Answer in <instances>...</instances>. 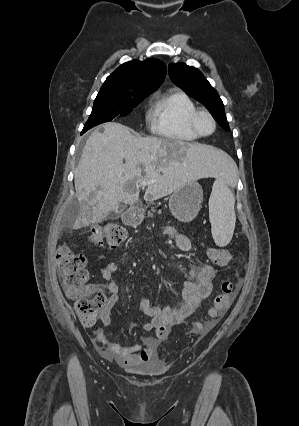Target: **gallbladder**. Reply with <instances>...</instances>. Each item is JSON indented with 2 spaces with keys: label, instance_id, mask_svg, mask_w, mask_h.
Instances as JSON below:
<instances>
[{
  "label": "gallbladder",
  "instance_id": "gallbladder-1",
  "mask_svg": "<svg viewBox=\"0 0 299 426\" xmlns=\"http://www.w3.org/2000/svg\"><path fill=\"white\" fill-rule=\"evenodd\" d=\"M124 210V206L122 205V206H119V207H117L114 211H113V213H110L109 214V216H108V218L109 219H115L122 211Z\"/></svg>",
  "mask_w": 299,
  "mask_h": 426
}]
</instances>
